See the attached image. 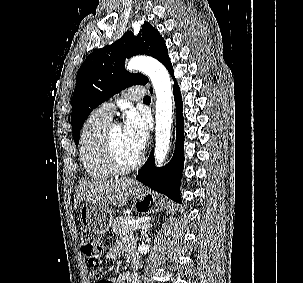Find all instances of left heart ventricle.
<instances>
[{
  "mask_svg": "<svg viewBox=\"0 0 303 283\" xmlns=\"http://www.w3.org/2000/svg\"><path fill=\"white\" fill-rule=\"evenodd\" d=\"M113 142L119 161L124 165L131 164L137 157V153L124 136L121 126L113 129Z\"/></svg>",
  "mask_w": 303,
  "mask_h": 283,
  "instance_id": "1",
  "label": "left heart ventricle"
}]
</instances>
